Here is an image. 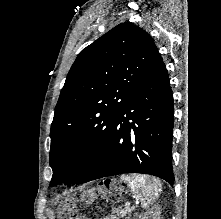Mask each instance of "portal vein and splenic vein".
<instances>
[{
  "instance_id": "1",
  "label": "portal vein and splenic vein",
  "mask_w": 221,
  "mask_h": 219,
  "mask_svg": "<svg viewBox=\"0 0 221 219\" xmlns=\"http://www.w3.org/2000/svg\"><path fill=\"white\" fill-rule=\"evenodd\" d=\"M125 206H126V207H129V206H130V203H129V202H126V203H125Z\"/></svg>"
}]
</instances>
